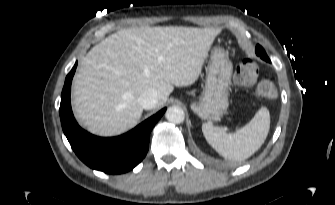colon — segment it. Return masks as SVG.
I'll return each instance as SVG.
<instances>
[{"mask_svg":"<svg viewBox=\"0 0 335 205\" xmlns=\"http://www.w3.org/2000/svg\"><path fill=\"white\" fill-rule=\"evenodd\" d=\"M258 66L252 60L243 61L236 69L235 82L241 86H253L254 93L259 98H273L276 95V87L271 78H264L257 82Z\"/></svg>","mask_w":335,"mask_h":205,"instance_id":"1","label":"colon"}]
</instances>
